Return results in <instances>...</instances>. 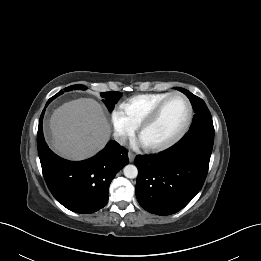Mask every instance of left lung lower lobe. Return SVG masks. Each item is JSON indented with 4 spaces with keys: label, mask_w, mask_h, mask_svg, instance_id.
<instances>
[{
    "label": "left lung lower lobe",
    "mask_w": 261,
    "mask_h": 261,
    "mask_svg": "<svg viewBox=\"0 0 261 261\" xmlns=\"http://www.w3.org/2000/svg\"><path fill=\"white\" fill-rule=\"evenodd\" d=\"M213 142L214 132L192 130L161 153L137 155L135 192L139 204L157 215H170L184 208L203 186Z\"/></svg>",
    "instance_id": "obj_1"
}]
</instances>
